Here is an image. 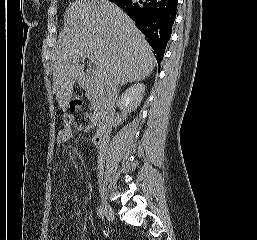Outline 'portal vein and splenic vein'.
I'll list each match as a JSON object with an SVG mask.
<instances>
[{"mask_svg": "<svg viewBox=\"0 0 257 240\" xmlns=\"http://www.w3.org/2000/svg\"><path fill=\"white\" fill-rule=\"evenodd\" d=\"M83 59H89L90 60V63H93L94 62V57L92 54H86L82 57ZM95 74V80H96V86H97V89L101 88L103 86V83L97 78V71L95 70L93 72Z\"/></svg>", "mask_w": 257, "mask_h": 240, "instance_id": "18ae733b", "label": "portal vein and splenic vein"}]
</instances>
